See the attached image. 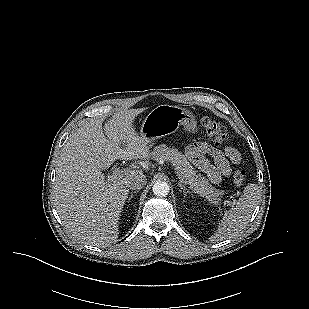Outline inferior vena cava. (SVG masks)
Returning <instances> with one entry per match:
<instances>
[{"instance_id":"602c4592","label":"inferior vena cava","mask_w":309,"mask_h":309,"mask_svg":"<svg viewBox=\"0 0 309 309\" xmlns=\"http://www.w3.org/2000/svg\"><path fill=\"white\" fill-rule=\"evenodd\" d=\"M147 183V178L143 173H137L126 181V186L130 189H141Z\"/></svg>"}]
</instances>
